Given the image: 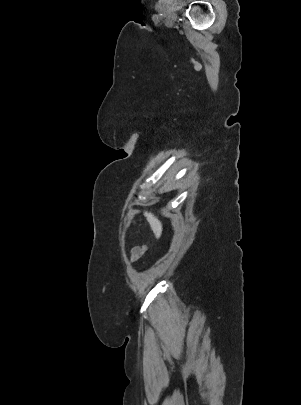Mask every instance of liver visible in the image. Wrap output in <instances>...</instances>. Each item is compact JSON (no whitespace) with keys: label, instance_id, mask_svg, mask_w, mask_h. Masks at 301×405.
<instances>
[{"label":"liver","instance_id":"obj_1","mask_svg":"<svg viewBox=\"0 0 301 405\" xmlns=\"http://www.w3.org/2000/svg\"><path fill=\"white\" fill-rule=\"evenodd\" d=\"M145 216L147 218V221L150 224V227L152 229V231L154 232L155 236L157 238H159L162 234V224L159 221V219L154 216L152 213L150 212H145Z\"/></svg>","mask_w":301,"mask_h":405}]
</instances>
